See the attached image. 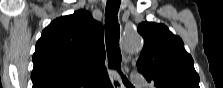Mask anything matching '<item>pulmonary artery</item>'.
Here are the masks:
<instances>
[{
	"mask_svg": "<svg viewBox=\"0 0 223 88\" xmlns=\"http://www.w3.org/2000/svg\"><path fill=\"white\" fill-rule=\"evenodd\" d=\"M131 82L136 86H142L144 83V77L140 73L134 72L131 74Z\"/></svg>",
	"mask_w": 223,
	"mask_h": 88,
	"instance_id": "e3ab8cb5",
	"label": "pulmonary artery"
}]
</instances>
